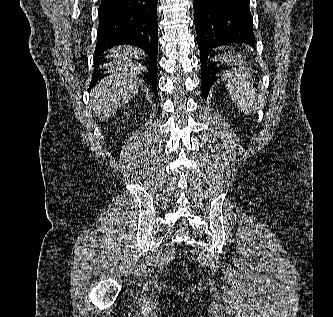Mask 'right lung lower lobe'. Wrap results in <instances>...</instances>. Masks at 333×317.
<instances>
[{"instance_id": "right-lung-lower-lobe-1", "label": "right lung lower lobe", "mask_w": 333, "mask_h": 317, "mask_svg": "<svg viewBox=\"0 0 333 317\" xmlns=\"http://www.w3.org/2000/svg\"><path fill=\"white\" fill-rule=\"evenodd\" d=\"M158 0H101L98 10L99 26L95 62L100 63V55L117 45L137 46L149 55L148 72L143 79L157 97V53H158ZM99 75L92 78L95 86Z\"/></svg>"}]
</instances>
